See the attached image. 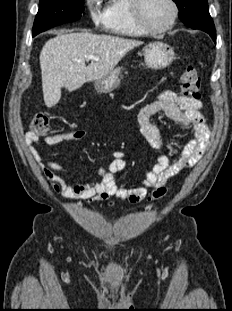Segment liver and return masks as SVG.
<instances>
[{
	"mask_svg": "<svg viewBox=\"0 0 232 311\" xmlns=\"http://www.w3.org/2000/svg\"><path fill=\"white\" fill-rule=\"evenodd\" d=\"M142 41L92 33H65L48 40L40 53L42 90L47 107L61 98V88L79 89L85 82L99 80L110 74L119 61ZM88 55L92 60L86 66Z\"/></svg>",
	"mask_w": 232,
	"mask_h": 311,
	"instance_id": "6515ba94",
	"label": "liver"
}]
</instances>
